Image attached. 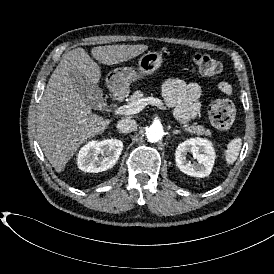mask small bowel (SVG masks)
I'll list each match as a JSON object with an SVG mask.
<instances>
[{"mask_svg": "<svg viewBox=\"0 0 274 274\" xmlns=\"http://www.w3.org/2000/svg\"><path fill=\"white\" fill-rule=\"evenodd\" d=\"M216 89L224 95L233 93L231 84L226 81L218 82ZM163 96L180 121L195 118L201 111V86L197 82L186 83L179 78H170L163 85Z\"/></svg>", "mask_w": 274, "mask_h": 274, "instance_id": "c3829d8e", "label": "small bowel"}]
</instances>
